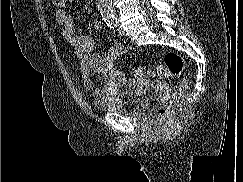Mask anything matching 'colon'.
<instances>
[{"label": "colon", "mask_w": 243, "mask_h": 182, "mask_svg": "<svg viewBox=\"0 0 243 182\" xmlns=\"http://www.w3.org/2000/svg\"><path fill=\"white\" fill-rule=\"evenodd\" d=\"M54 5L64 7L71 0H52ZM185 68L184 59L176 52H167L164 55L163 62L156 66L155 69L145 66H139L133 70L134 76L141 80L147 81L153 77H170L179 76L183 73ZM186 86V81H182L169 88L168 90L161 91L157 96L158 114L161 118H165L174 102L182 95Z\"/></svg>", "instance_id": "5ec220e1"}]
</instances>
